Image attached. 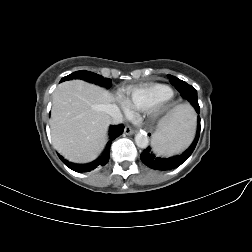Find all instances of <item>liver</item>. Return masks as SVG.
Here are the masks:
<instances>
[{
	"label": "liver",
	"mask_w": 252,
	"mask_h": 252,
	"mask_svg": "<svg viewBox=\"0 0 252 252\" xmlns=\"http://www.w3.org/2000/svg\"><path fill=\"white\" fill-rule=\"evenodd\" d=\"M114 97L105 89L72 80L53 93L51 136L56 150L75 163L95 160L104 149L111 121L105 107Z\"/></svg>",
	"instance_id": "liver-1"
}]
</instances>
